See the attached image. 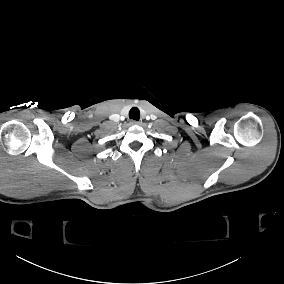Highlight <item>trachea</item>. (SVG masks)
Segmentation results:
<instances>
[{
  "instance_id": "obj_1",
  "label": "trachea",
  "mask_w": 284,
  "mask_h": 284,
  "mask_svg": "<svg viewBox=\"0 0 284 284\" xmlns=\"http://www.w3.org/2000/svg\"><path fill=\"white\" fill-rule=\"evenodd\" d=\"M130 119L138 121L140 119V112L139 109L136 107H133L129 112Z\"/></svg>"
}]
</instances>
